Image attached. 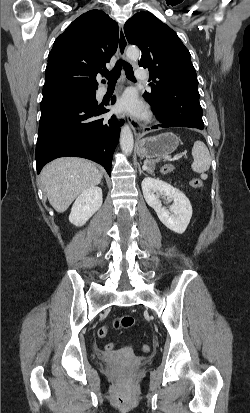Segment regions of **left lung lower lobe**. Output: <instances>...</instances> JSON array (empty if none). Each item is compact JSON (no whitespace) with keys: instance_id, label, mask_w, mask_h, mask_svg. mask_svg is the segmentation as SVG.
I'll return each instance as SVG.
<instances>
[{"instance_id":"1","label":"left lung lower lobe","mask_w":250,"mask_h":413,"mask_svg":"<svg viewBox=\"0 0 250 413\" xmlns=\"http://www.w3.org/2000/svg\"><path fill=\"white\" fill-rule=\"evenodd\" d=\"M144 98L152 105L155 116L162 123L152 129L168 127H190L202 130V108L199 103L198 89L185 85L180 89L171 90L170 95L156 97L144 93ZM149 130V129H148Z\"/></svg>"}]
</instances>
